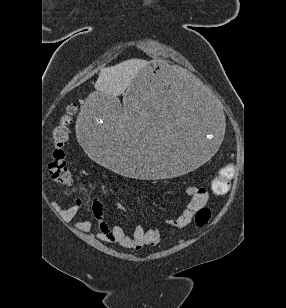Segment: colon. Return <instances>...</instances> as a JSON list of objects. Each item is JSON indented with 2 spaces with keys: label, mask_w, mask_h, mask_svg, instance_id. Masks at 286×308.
Instances as JSON below:
<instances>
[{
  "label": "colon",
  "mask_w": 286,
  "mask_h": 308,
  "mask_svg": "<svg viewBox=\"0 0 286 308\" xmlns=\"http://www.w3.org/2000/svg\"><path fill=\"white\" fill-rule=\"evenodd\" d=\"M76 110L75 104L68 105L59 124L53 130V150L49 170L54 181L62 186H70L73 183V174L64 159V146L69 140V126ZM233 175L234 167L232 165L223 167L219 175L211 182L212 191L217 194L227 192ZM210 218L211 210L208 207H201L196 213L195 223L198 227H204Z\"/></svg>",
  "instance_id": "obj_1"
}]
</instances>
